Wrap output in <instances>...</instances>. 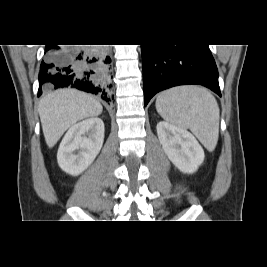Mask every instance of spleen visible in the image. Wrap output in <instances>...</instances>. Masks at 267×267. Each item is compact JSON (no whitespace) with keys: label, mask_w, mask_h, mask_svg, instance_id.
Wrapping results in <instances>:
<instances>
[{"label":"spleen","mask_w":267,"mask_h":267,"mask_svg":"<svg viewBox=\"0 0 267 267\" xmlns=\"http://www.w3.org/2000/svg\"><path fill=\"white\" fill-rule=\"evenodd\" d=\"M156 110L171 124L190 129L209 151L217 145L219 107L215 97L205 88L181 86L161 92Z\"/></svg>","instance_id":"obj_1"}]
</instances>
